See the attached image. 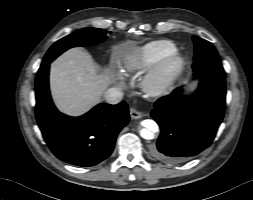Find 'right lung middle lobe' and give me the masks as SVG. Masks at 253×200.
I'll return each instance as SVG.
<instances>
[{"instance_id": "1", "label": "right lung middle lobe", "mask_w": 253, "mask_h": 200, "mask_svg": "<svg viewBox=\"0 0 253 200\" xmlns=\"http://www.w3.org/2000/svg\"><path fill=\"white\" fill-rule=\"evenodd\" d=\"M106 30L84 28L57 41L46 53L43 62L53 61L61 53L76 46L95 45L106 40Z\"/></svg>"}]
</instances>
